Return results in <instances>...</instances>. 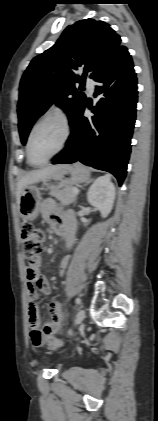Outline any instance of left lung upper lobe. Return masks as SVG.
<instances>
[{
  "label": "left lung upper lobe",
  "mask_w": 158,
  "mask_h": 421,
  "mask_svg": "<svg viewBox=\"0 0 158 421\" xmlns=\"http://www.w3.org/2000/svg\"><path fill=\"white\" fill-rule=\"evenodd\" d=\"M118 34L103 21L85 19L68 26L58 41L35 57L22 76L18 102L19 133L26 143L34 122L53 103L64 109L70 125L86 103L76 89L87 73L95 78L121 48ZM84 69L80 78L75 75Z\"/></svg>",
  "instance_id": "obj_1"
}]
</instances>
